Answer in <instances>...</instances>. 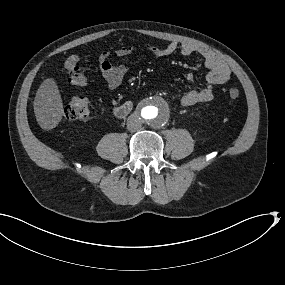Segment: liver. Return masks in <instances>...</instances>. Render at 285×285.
I'll return each instance as SVG.
<instances>
[{
	"mask_svg": "<svg viewBox=\"0 0 285 285\" xmlns=\"http://www.w3.org/2000/svg\"><path fill=\"white\" fill-rule=\"evenodd\" d=\"M33 104L36 120L42 129L51 130L59 124L63 116V103L53 78L43 81Z\"/></svg>",
	"mask_w": 285,
	"mask_h": 285,
	"instance_id": "1",
	"label": "liver"
}]
</instances>
